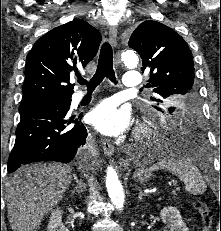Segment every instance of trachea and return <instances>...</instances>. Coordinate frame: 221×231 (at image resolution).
Segmentation results:
<instances>
[{
    "mask_svg": "<svg viewBox=\"0 0 221 231\" xmlns=\"http://www.w3.org/2000/svg\"><path fill=\"white\" fill-rule=\"evenodd\" d=\"M105 77L117 84L113 69V51L108 42L102 45L97 70L93 78L90 81H86L84 78H78V83L82 85L86 84L88 90L93 91Z\"/></svg>",
    "mask_w": 221,
    "mask_h": 231,
    "instance_id": "3493384b",
    "label": "trachea"
}]
</instances>
